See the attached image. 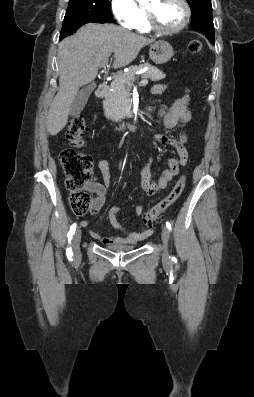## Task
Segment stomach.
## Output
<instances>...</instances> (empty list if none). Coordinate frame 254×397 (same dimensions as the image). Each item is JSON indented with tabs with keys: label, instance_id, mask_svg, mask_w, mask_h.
Instances as JSON below:
<instances>
[{
	"label": "stomach",
	"instance_id": "obj_1",
	"mask_svg": "<svg viewBox=\"0 0 254 397\" xmlns=\"http://www.w3.org/2000/svg\"><path fill=\"white\" fill-rule=\"evenodd\" d=\"M173 54V48L167 41L160 40L150 45L149 56L156 64L168 62Z\"/></svg>",
	"mask_w": 254,
	"mask_h": 397
}]
</instances>
